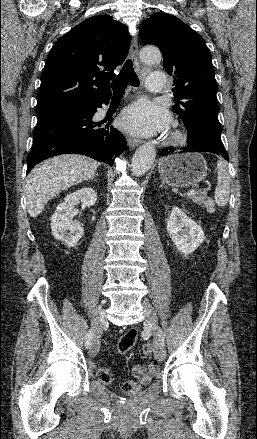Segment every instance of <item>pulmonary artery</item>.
Wrapping results in <instances>:
<instances>
[{
    "label": "pulmonary artery",
    "instance_id": "1",
    "mask_svg": "<svg viewBox=\"0 0 257 439\" xmlns=\"http://www.w3.org/2000/svg\"><path fill=\"white\" fill-rule=\"evenodd\" d=\"M166 75L162 72H155L148 75L146 88L151 93H162L166 87Z\"/></svg>",
    "mask_w": 257,
    "mask_h": 439
}]
</instances>
